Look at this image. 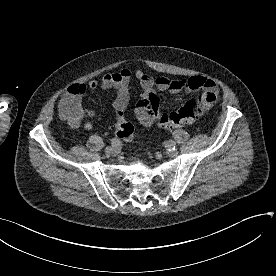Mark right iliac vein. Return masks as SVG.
<instances>
[{"label":"right iliac vein","instance_id":"right-iliac-vein-1","mask_svg":"<svg viewBox=\"0 0 276 276\" xmlns=\"http://www.w3.org/2000/svg\"><path fill=\"white\" fill-rule=\"evenodd\" d=\"M119 146H108L105 149V152L109 155L117 153Z\"/></svg>","mask_w":276,"mask_h":276}]
</instances>
